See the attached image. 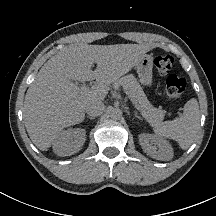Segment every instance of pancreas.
<instances>
[{"label":"pancreas","instance_id":"obj_1","mask_svg":"<svg viewBox=\"0 0 216 216\" xmlns=\"http://www.w3.org/2000/svg\"><path fill=\"white\" fill-rule=\"evenodd\" d=\"M121 86L126 87L134 94L136 108L150 124L158 125L163 121L165 111L150 104L142 87L132 74L121 77L113 83L114 88Z\"/></svg>","mask_w":216,"mask_h":216}]
</instances>
